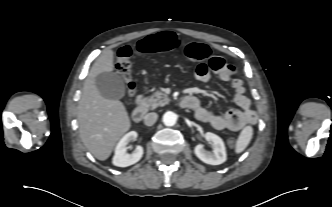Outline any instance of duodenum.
<instances>
[{"label": "duodenum", "instance_id": "duodenum-1", "mask_svg": "<svg viewBox=\"0 0 332 207\" xmlns=\"http://www.w3.org/2000/svg\"><path fill=\"white\" fill-rule=\"evenodd\" d=\"M137 106L132 112V119L136 123H140L143 121L146 113V105L144 103V96L142 93H138L136 95ZM194 101L193 96H185L182 98L180 104L183 108H191Z\"/></svg>", "mask_w": 332, "mask_h": 207}]
</instances>
